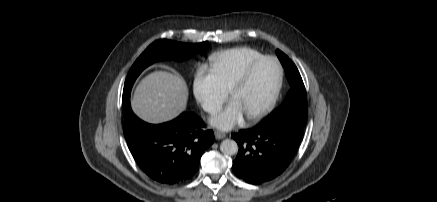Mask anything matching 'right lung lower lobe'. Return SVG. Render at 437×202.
I'll return each mask as SVG.
<instances>
[{"instance_id":"right-lung-lower-lobe-1","label":"right lung lower lobe","mask_w":437,"mask_h":202,"mask_svg":"<svg viewBox=\"0 0 437 202\" xmlns=\"http://www.w3.org/2000/svg\"><path fill=\"white\" fill-rule=\"evenodd\" d=\"M124 136L139 167L162 184L191 179L199 169L203 151L214 142L212 130L193 112L172 121L148 124L129 107L124 114Z\"/></svg>"}]
</instances>
